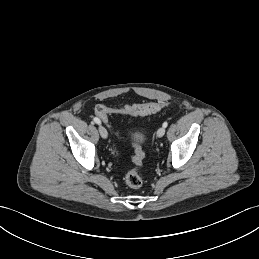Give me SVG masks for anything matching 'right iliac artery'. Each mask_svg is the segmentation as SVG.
<instances>
[{"label":"right iliac artery","mask_w":259,"mask_h":259,"mask_svg":"<svg viewBox=\"0 0 259 259\" xmlns=\"http://www.w3.org/2000/svg\"><path fill=\"white\" fill-rule=\"evenodd\" d=\"M93 121L96 123V124H101V121L100 119H98L97 117L93 118Z\"/></svg>","instance_id":"right-iliac-artery-1"}]
</instances>
